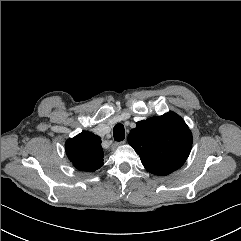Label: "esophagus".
I'll use <instances>...</instances> for the list:
<instances>
[{"mask_svg":"<svg viewBox=\"0 0 241 241\" xmlns=\"http://www.w3.org/2000/svg\"><path fill=\"white\" fill-rule=\"evenodd\" d=\"M125 143V140L124 141H121V142H115L112 144V148L115 149L118 145H121V144H124Z\"/></svg>","mask_w":241,"mask_h":241,"instance_id":"34e87169","label":"esophagus"}]
</instances>
